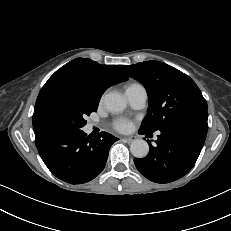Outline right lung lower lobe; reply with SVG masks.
<instances>
[{"label":"right lung lower lobe","mask_w":231,"mask_h":231,"mask_svg":"<svg viewBox=\"0 0 231 231\" xmlns=\"http://www.w3.org/2000/svg\"><path fill=\"white\" fill-rule=\"evenodd\" d=\"M117 140L107 132L92 139L82 130L51 137L35 135L36 147L47 168L70 184L86 183L98 176Z\"/></svg>","instance_id":"98d812e1"}]
</instances>
